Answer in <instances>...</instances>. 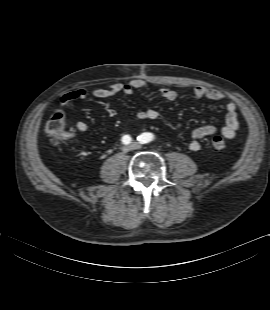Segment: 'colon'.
I'll return each mask as SVG.
<instances>
[{
  "label": "colon",
  "instance_id": "1",
  "mask_svg": "<svg viewBox=\"0 0 270 310\" xmlns=\"http://www.w3.org/2000/svg\"><path fill=\"white\" fill-rule=\"evenodd\" d=\"M46 132L54 142L64 140L69 136L66 130V116L63 111H55L46 124ZM209 147L215 151L224 150L227 147V141L221 136H214L209 141Z\"/></svg>",
  "mask_w": 270,
  "mask_h": 310
}]
</instances>
